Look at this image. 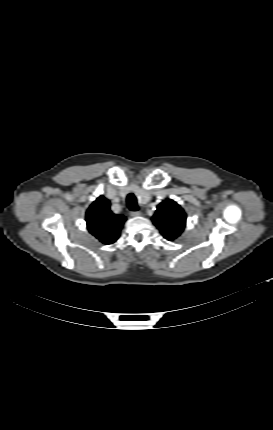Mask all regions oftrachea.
Segmentation results:
<instances>
[{
    "mask_svg": "<svg viewBox=\"0 0 273 430\" xmlns=\"http://www.w3.org/2000/svg\"><path fill=\"white\" fill-rule=\"evenodd\" d=\"M127 204H128V208L131 211H137L138 210V206H137V200L136 197L133 193L128 194L127 196Z\"/></svg>",
    "mask_w": 273,
    "mask_h": 430,
    "instance_id": "3493384b",
    "label": "trachea"
}]
</instances>
